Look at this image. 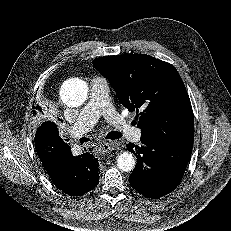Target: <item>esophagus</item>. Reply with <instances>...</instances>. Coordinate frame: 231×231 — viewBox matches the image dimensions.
I'll list each match as a JSON object with an SVG mask.
<instances>
[{
	"label": "esophagus",
	"instance_id": "1",
	"mask_svg": "<svg viewBox=\"0 0 231 231\" xmlns=\"http://www.w3.org/2000/svg\"><path fill=\"white\" fill-rule=\"evenodd\" d=\"M115 148H116V143L113 141H103L100 144V150L103 153L111 152V151L115 150Z\"/></svg>",
	"mask_w": 231,
	"mask_h": 231
}]
</instances>
